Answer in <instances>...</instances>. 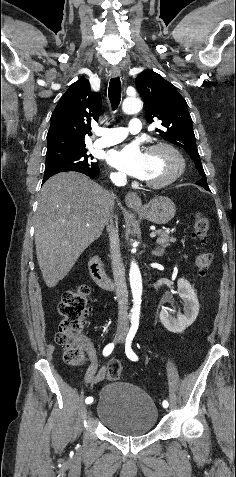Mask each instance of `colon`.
I'll return each instance as SVG.
<instances>
[{"mask_svg": "<svg viewBox=\"0 0 236 477\" xmlns=\"http://www.w3.org/2000/svg\"><path fill=\"white\" fill-rule=\"evenodd\" d=\"M211 230V222L202 214L196 215L193 223V236L199 242H204ZM213 261V255L209 252L199 253L195 259V265L199 273L205 275ZM89 289L86 286H78L65 292L58 305V313L61 317L59 330L55 341L64 350V360L72 366H80L84 362V354L80 345L79 336L86 325V315L89 311ZM108 378L117 381L122 373V364L118 360H111L107 365Z\"/></svg>", "mask_w": 236, "mask_h": 477, "instance_id": "1", "label": "colon"}]
</instances>
